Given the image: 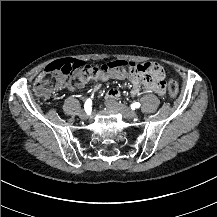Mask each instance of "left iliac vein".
Masks as SVG:
<instances>
[{
	"label": "left iliac vein",
	"mask_w": 217,
	"mask_h": 217,
	"mask_svg": "<svg viewBox=\"0 0 217 217\" xmlns=\"http://www.w3.org/2000/svg\"><path fill=\"white\" fill-rule=\"evenodd\" d=\"M105 103L109 109H111L115 112H119L126 119L137 118V116H138L136 111H133V110L127 108L126 106L119 104L115 101H106Z\"/></svg>",
	"instance_id": "4c4485c4"
}]
</instances>
